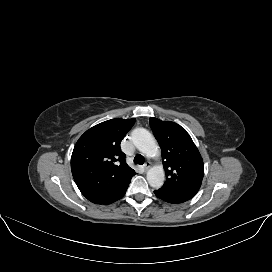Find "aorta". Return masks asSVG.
<instances>
[{
	"instance_id": "aorta-1",
	"label": "aorta",
	"mask_w": 272,
	"mask_h": 272,
	"mask_svg": "<svg viewBox=\"0 0 272 272\" xmlns=\"http://www.w3.org/2000/svg\"><path fill=\"white\" fill-rule=\"evenodd\" d=\"M131 140L135 147L150 157L159 156V147L154 137L143 128H136L131 133ZM165 172L162 166H153L147 172V181L153 188L159 189L163 186Z\"/></svg>"
}]
</instances>
